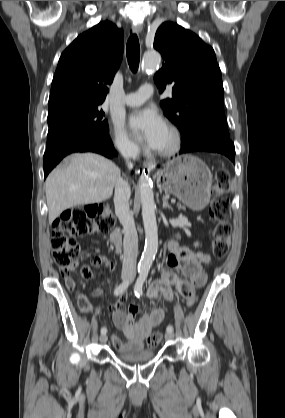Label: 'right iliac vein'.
<instances>
[{
	"label": "right iliac vein",
	"mask_w": 285,
	"mask_h": 418,
	"mask_svg": "<svg viewBox=\"0 0 285 418\" xmlns=\"http://www.w3.org/2000/svg\"><path fill=\"white\" fill-rule=\"evenodd\" d=\"M128 278V276H125L124 277V279H127ZM107 335H106V333H103V334H101V336H100V342L101 343H104V342H106L107 341Z\"/></svg>",
	"instance_id": "right-iliac-vein-1"
}]
</instances>
